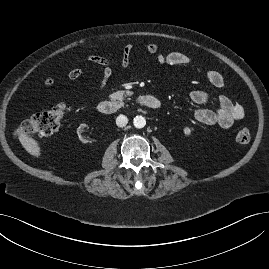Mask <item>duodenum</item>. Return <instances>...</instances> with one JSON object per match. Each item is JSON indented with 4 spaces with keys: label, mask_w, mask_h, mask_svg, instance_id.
<instances>
[{
    "label": "duodenum",
    "mask_w": 269,
    "mask_h": 269,
    "mask_svg": "<svg viewBox=\"0 0 269 269\" xmlns=\"http://www.w3.org/2000/svg\"><path fill=\"white\" fill-rule=\"evenodd\" d=\"M136 103L140 106L150 110H158L161 107L160 101L151 95H142L135 99ZM121 106L118 102L112 100L101 101L98 106V112L104 115H113L120 110Z\"/></svg>",
    "instance_id": "1"
}]
</instances>
